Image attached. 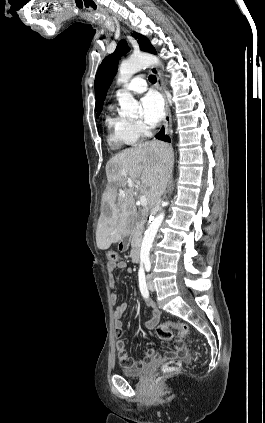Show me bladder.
I'll list each match as a JSON object with an SVG mask.
<instances>
[{"label":"bladder","mask_w":265,"mask_h":423,"mask_svg":"<svg viewBox=\"0 0 265 423\" xmlns=\"http://www.w3.org/2000/svg\"><path fill=\"white\" fill-rule=\"evenodd\" d=\"M148 368V365H143L138 368H123L121 369V374L129 378H137L142 376Z\"/></svg>","instance_id":"bladder-1"}]
</instances>
